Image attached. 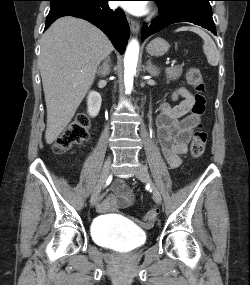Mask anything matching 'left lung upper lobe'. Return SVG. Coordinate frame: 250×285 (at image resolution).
Returning a JSON list of instances; mask_svg holds the SVG:
<instances>
[{
	"instance_id": "5c2ea615",
	"label": "left lung upper lobe",
	"mask_w": 250,
	"mask_h": 285,
	"mask_svg": "<svg viewBox=\"0 0 250 285\" xmlns=\"http://www.w3.org/2000/svg\"><path fill=\"white\" fill-rule=\"evenodd\" d=\"M162 11L172 13L189 6L200 7L206 10H212L210 0H155Z\"/></svg>"
}]
</instances>
